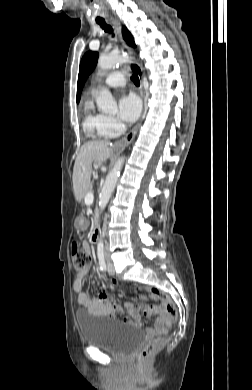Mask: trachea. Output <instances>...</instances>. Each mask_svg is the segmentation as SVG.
I'll return each instance as SVG.
<instances>
[{
	"label": "trachea",
	"instance_id": "trachea-1",
	"mask_svg": "<svg viewBox=\"0 0 252 390\" xmlns=\"http://www.w3.org/2000/svg\"><path fill=\"white\" fill-rule=\"evenodd\" d=\"M96 22L101 26V28L105 32H108V33H112L113 32V29L111 28V26L106 24L104 19H96ZM132 81L134 82L135 85H137V86L140 85L139 77L137 75H133L132 76Z\"/></svg>",
	"mask_w": 252,
	"mask_h": 390
}]
</instances>
